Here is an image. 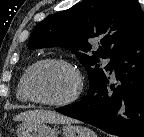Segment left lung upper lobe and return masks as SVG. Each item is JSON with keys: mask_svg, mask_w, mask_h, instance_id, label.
<instances>
[{"mask_svg": "<svg viewBox=\"0 0 144 137\" xmlns=\"http://www.w3.org/2000/svg\"><path fill=\"white\" fill-rule=\"evenodd\" d=\"M144 12L137 0H83L71 8L49 15L31 33L30 49L59 46L71 50L86 68L90 87L106 76L109 64L138 36ZM102 45L93 56L90 41ZM111 58L102 69L99 60Z\"/></svg>", "mask_w": 144, "mask_h": 137, "instance_id": "5c2ea615", "label": "left lung upper lobe"}]
</instances>
